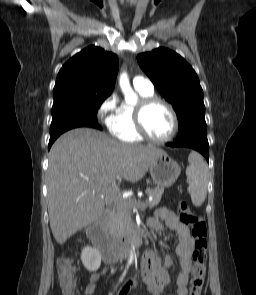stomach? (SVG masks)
<instances>
[{
  "label": "stomach",
  "instance_id": "obj_1",
  "mask_svg": "<svg viewBox=\"0 0 256 295\" xmlns=\"http://www.w3.org/2000/svg\"><path fill=\"white\" fill-rule=\"evenodd\" d=\"M149 171L155 184L160 187H170L179 177L181 168L166 152H163L155 158Z\"/></svg>",
  "mask_w": 256,
  "mask_h": 295
}]
</instances>
